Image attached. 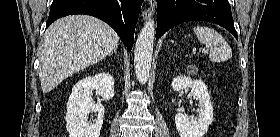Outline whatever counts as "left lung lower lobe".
Returning <instances> with one entry per match:
<instances>
[{
	"label": "left lung lower lobe",
	"instance_id": "left-lung-lower-lobe-1",
	"mask_svg": "<svg viewBox=\"0 0 280 137\" xmlns=\"http://www.w3.org/2000/svg\"><path fill=\"white\" fill-rule=\"evenodd\" d=\"M156 39L178 23L200 20L218 24L238 40L228 0H157Z\"/></svg>",
	"mask_w": 280,
	"mask_h": 137
}]
</instances>
